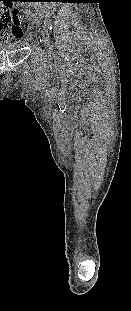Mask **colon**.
Instances as JSON below:
<instances>
[{
  "label": "colon",
  "instance_id": "5ec220e1",
  "mask_svg": "<svg viewBox=\"0 0 131 311\" xmlns=\"http://www.w3.org/2000/svg\"><path fill=\"white\" fill-rule=\"evenodd\" d=\"M19 11L17 9H0V32L7 29H19L32 30L36 28L33 24L25 23L21 24L17 17Z\"/></svg>",
  "mask_w": 131,
  "mask_h": 311
}]
</instances>
